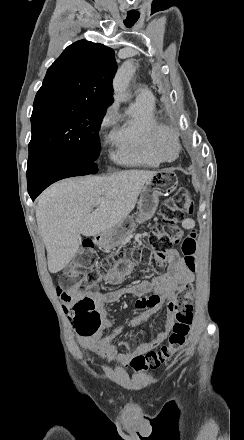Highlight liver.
Returning <instances> with one entry per match:
<instances>
[{"instance_id": "1", "label": "liver", "mask_w": 244, "mask_h": 440, "mask_svg": "<svg viewBox=\"0 0 244 440\" xmlns=\"http://www.w3.org/2000/svg\"><path fill=\"white\" fill-rule=\"evenodd\" d=\"M154 174L125 170L106 178H68L47 188L38 198L35 214L50 274L61 272L74 258L81 246L80 234L98 236L126 220ZM97 200L102 202L93 212Z\"/></svg>"}]
</instances>
